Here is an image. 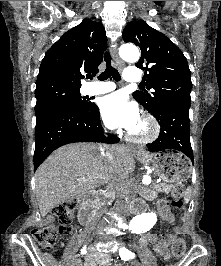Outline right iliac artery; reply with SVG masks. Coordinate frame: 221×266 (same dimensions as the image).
<instances>
[{
    "mask_svg": "<svg viewBox=\"0 0 221 266\" xmlns=\"http://www.w3.org/2000/svg\"><path fill=\"white\" fill-rule=\"evenodd\" d=\"M86 253V248L84 247L83 249H81V254Z\"/></svg>",
    "mask_w": 221,
    "mask_h": 266,
    "instance_id": "82829eb1",
    "label": "right iliac artery"
}]
</instances>
